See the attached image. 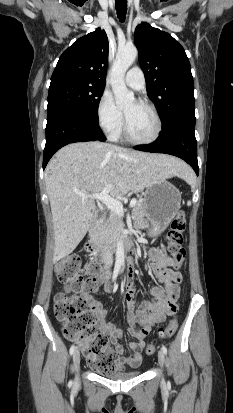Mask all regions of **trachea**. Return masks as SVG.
<instances>
[{"label":"trachea","instance_id":"obj_1","mask_svg":"<svg viewBox=\"0 0 233 413\" xmlns=\"http://www.w3.org/2000/svg\"><path fill=\"white\" fill-rule=\"evenodd\" d=\"M116 11L120 21H124L127 11V0H115Z\"/></svg>","mask_w":233,"mask_h":413}]
</instances>
